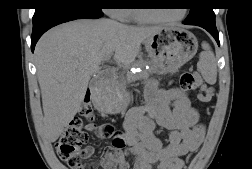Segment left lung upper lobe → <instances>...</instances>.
Segmentation results:
<instances>
[{"label":"left lung upper lobe","mask_w":252,"mask_h":169,"mask_svg":"<svg viewBox=\"0 0 252 169\" xmlns=\"http://www.w3.org/2000/svg\"><path fill=\"white\" fill-rule=\"evenodd\" d=\"M212 0H193L194 7L190 8V13L184 23L189 25H212L215 26V13L212 10Z\"/></svg>","instance_id":"obj_1"}]
</instances>
